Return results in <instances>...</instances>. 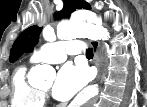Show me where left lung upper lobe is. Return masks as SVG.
Returning <instances> with one entry per match:
<instances>
[{"mask_svg":"<svg viewBox=\"0 0 147 107\" xmlns=\"http://www.w3.org/2000/svg\"><path fill=\"white\" fill-rule=\"evenodd\" d=\"M64 7L61 11L55 12V18L69 17L76 9H91L90 5L83 0H63ZM42 28L31 26L25 29L15 40L10 53V62L16 61L23 52H30L38 43V37Z\"/></svg>","mask_w":147,"mask_h":107,"instance_id":"5c2ea615","label":"left lung upper lobe"}]
</instances>
